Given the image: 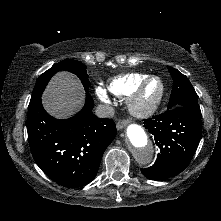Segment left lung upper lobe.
<instances>
[{"instance_id": "left-lung-upper-lobe-1", "label": "left lung upper lobe", "mask_w": 221, "mask_h": 221, "mask_svg": "<svg viewBox=\"0 0 221 221\" xmlns=\"http://www.w3.org/2000/svg\"><path fill=\"white\" fill-rule=\"evenodd\" d=\"M167 68L173 79V88L167 108L187 107L194 113L201 114L198 96L189 79L178 70L169 66Z\"/></svg>"}]
</instances>
